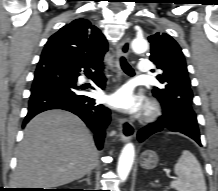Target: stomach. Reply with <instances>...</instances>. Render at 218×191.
<instances>
[{
  "instance_id": "stomach-1",
  "label": "stomach",
  "mask_w": 218,
  "mask_h": 191,
  "mask_svg": "<svg viewBox=\"0 0 218 191\" xmlns=\"http://www.w3.org/2000/svg\"><path fill=\"white\" fill-rule=\"evenodd\" d=\"M159 162L158 154L153 150H146L141 154L140 165L145 170L154 169Z\"/></svg>"
}]
</instances>
